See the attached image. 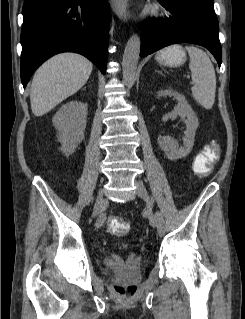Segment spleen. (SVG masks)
I'll return each instance as SVG.
<instances>
[{
    "instance_id": "1",
    "label": "spleen",
    "mask_w": 245,
    "mask_h": 319,
    "mask_svg": "<svg viewBox=\"0 0 245 319\" xmlns=\"http://www.w3.org/2000/svg\"><path fill=\"white\" fill-rule=\"evenodd\" d=\"M190 56L189 68L194 83L192 95L205 109L212 108L215 101L216 75L209 56L200 48L186 46Z\"/></svg>"
}]
</instances>
